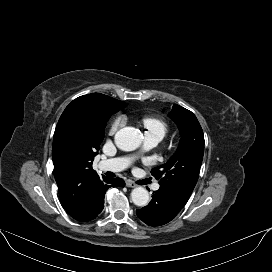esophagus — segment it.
Masks as SVG:
<instances>
[{
    "label": "esophagus",
    "mask_w": 272,
    "mask_h": 272,
    "mask_svg": "<svg viewBox=\"0 0 272 272\" xmlns=\"http://www.w3.org/2000/svg\"><path fill=\"white\" fill-rule=\"evenodd\" d=\"M126 186H127V187H131V188H134V187H136L137 185H136L133 181L127 180V181H126Z\"/></svg>",
    "instance_id": "esophagus-1"
}]
</instances>
